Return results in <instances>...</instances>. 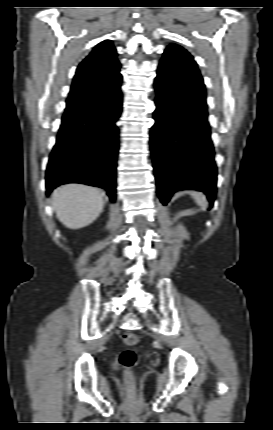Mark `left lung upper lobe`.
Segmentation results:
<instances>
[{
    "label": "left lung upper lobe",
    "instance_id": "1",
    "mask_svg": "<svg viewBox=\"0 0 273 430\" xmlns=\"http://www.w3.org/2000/svg\"><path fill=\"white\" fill-rule=\"evenodd\" d=\"M163 78L170 79L176 91L206 106V90L203 78L193 57L179 45H169L159 64Z\"/></svg>",
    "mask_w": 273,
    "mask_h": 430
}]
</instances>
